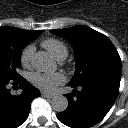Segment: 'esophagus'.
<instances>
[{
  "mask_svg": "<svg viewBox=\"0 0 128 128\" xmlns=\"http://www.w3.org/2000/svg\"><path fill=\"white\" fill-rule=\"evenodd\" d=\"M41 96L45 98H53V94L46 93V92H41Z\"/></svg>",
  "mask_w": 128,
  "mask_h": 128,
  "instance_id": "1",
  "label": "esophagus"
}]
</instances>
